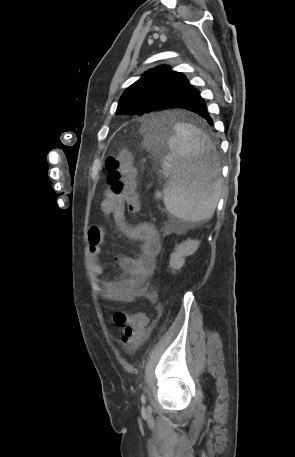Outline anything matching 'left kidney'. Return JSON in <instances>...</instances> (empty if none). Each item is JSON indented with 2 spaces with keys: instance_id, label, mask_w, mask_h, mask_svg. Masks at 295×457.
Returning <instances> with one entry per match:
<instances>
[{
  "instance_id": "left-kidney-1",
  "label": "left kidney",
  "mask_w": 295,
  "mask_h": 457,
  "mask_svg": "<svg viewBox=\"0 0 295 457\" xmlns=\"http://www.w3.org/2000/svg\"><path fill=\"white\" fill-rule=\"evenodd\" d=\"M199 246V241L187 239L185 242L176 246L170 256V267L173 269L181 268L185 263V257L195 253Z\"/></svg>"
}]
</instances>
